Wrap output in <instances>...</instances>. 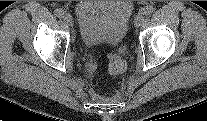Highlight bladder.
<instances>
[{
	"instance_id": "31cf9c89",
	"label": "bladder",
	"mask_w": 207,
	"mask_h": 121,
	"mask_svg": "<svg viewBox=\"0 0 207 121\" xmlns=\"http://www.w3.org/2000/svg\"><path fill=\"white\" fill-rule=\"evenodd\" d=\"M75 13L83 45H117L127 33L133 4L131 1H79Z\"/></svg>"
}]
</instances>
